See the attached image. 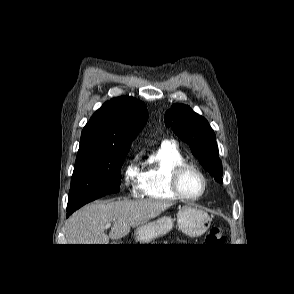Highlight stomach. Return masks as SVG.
<instances>
[{
	"label": "stomach",
	"mask_w": 294,
	"mask_h": 294,
	"mask_svg": "<svg viewBox=\"0 0 294 294\" xmlns=\"http://www.w3.org/2000/svg\"><path fill=\"white\" fill-rule=\"evenodd\" d=\"M209 215L197 208L183 206L177 214V225L180 231L189 237H199L203 235L210 226ZM173 228L171 217L162 216L154 221L138 226L134 232L135 240L139 244L149 242L169 233Z\"/></svg>",
	"instance_id": "0dacf381"
}]
</instances>
